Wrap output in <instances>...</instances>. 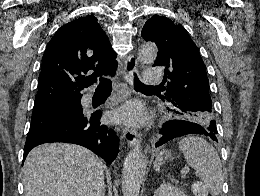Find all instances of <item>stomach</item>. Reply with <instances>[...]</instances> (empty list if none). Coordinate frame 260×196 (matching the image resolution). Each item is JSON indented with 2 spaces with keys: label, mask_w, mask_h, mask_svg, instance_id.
<instances>
[{
  "label": "stomach",
  "mask_w": 260,
  "mask_h": 196,
  "mask_svg": "<svg viewBox=\"0 0 260 196\" xmlns=\"http://www.w3.org/2000/svg\"><path fill=\"white\" fill-rule=\"evenodd\" d=\"M163 156H165L166 160H171L172 158L171 154H165V152H163Z\"/></svg>",
  "instance_id": "0dacf381"
}]
</instances>
